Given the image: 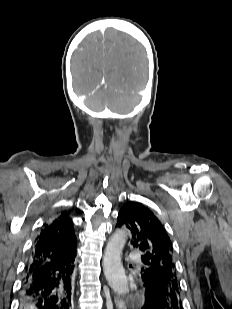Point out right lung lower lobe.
Returning a JSON list of instances; mask_svg holds the SVG:
<instances>
[{
    "label": "right lung lower lobe",
    "instance_id": "98d812e1",
    "mask_svg": "<svg viewBox=\"0 0 232 309\" xmlns=\"http://www.w3.org/2000/svg\"><path fill=\"white\" fill-rule=\"evenodd\" d=\"M75 256L40 265L29 260L21 287V309H72Z\"/></svg>",
    "mask_w": 232,
    "mask_h": 309
}]
</instances>
